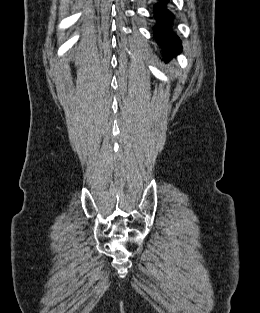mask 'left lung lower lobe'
I'll list each match as a JSON object with an SVG mask.
<instances>
[{"instance_id":"0a47b994","label":"left lung lower lobe","mask_w":260,"mask_h":313,"mask_svg":"<svg viewBox=\"0 0 260 313\" xmlns=\"http://www.w3.org/2000/svg\"><path fill=\"white\" fill-rule=\"evenodd\" d=\"M169 0H160L155 7V17L157 25L154 26V35L159 45L165 53V61L173 54L177 55L181 50V41L176 34L171 31V21L173 19L172 13L167 9Z\"/></svg>"}]
</instances>
